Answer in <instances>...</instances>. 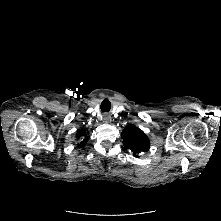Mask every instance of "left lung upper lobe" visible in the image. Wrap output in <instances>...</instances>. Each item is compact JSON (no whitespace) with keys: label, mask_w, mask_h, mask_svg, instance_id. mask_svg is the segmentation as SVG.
I'll list each match as a JSON object with an SVG mask.
<instances>
[{"label":"left lung upper lobe","mask_w":221,"mask_h":221,"mask_svg":"<svg viewBox=\"0 0 221 221\" xmlns=\"http://www.w3.org/2000/svg\"><path fill=\"white\" fill-rule=\"evenodd\" d=\"M121 137L124 147L131 150L136 157H138L137 154L148 150L150 147L146 134L133 124L127 125L124 128Z\"/></svg>","instance_id":"5c2ea615"}]
</instances>
